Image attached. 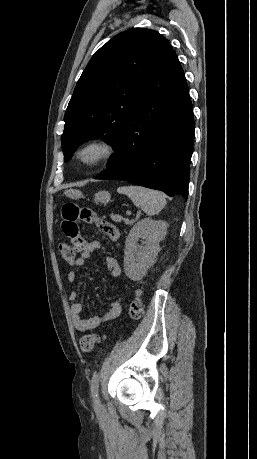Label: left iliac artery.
<instances>
[{
  "instance_id": "44dca946",
  "label": "left iliac artery",
  "mask_w": 257,
  "mask_h": 459,
  "mask_svg": "<svg viewBox=\"0 0 257 459\" xmlns=\"http://www.w3.org/2000/svg\"><path fill=\"white\" fill-rule=\"evenodd\" d=\"M99 373H95L91 380V392L94 397H98V387H99Z\"/></svg>"
}]
</instances>
